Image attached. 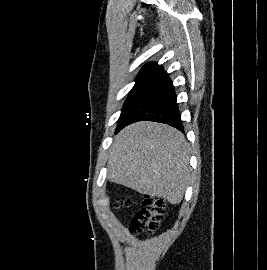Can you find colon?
Wrapping results in <instances>:
<instances>
[{"label":"colon","instance_id":"obj_1","mask_svg":"<svg viewBox=\"0 0 267 270\" xmlns=\"http://www.w3.org/2000/svg\"><path fill=\"white\" fill-rule=\"evenodd\" d=\"M164 214L165 203L163 200L146 197L143 201V208L131 221L130 232L135 235L154 232L160 226Z\"/></svg>","mask_w":267,"mask_h":270}]
</instances>
